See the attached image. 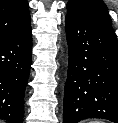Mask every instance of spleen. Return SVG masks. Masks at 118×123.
Masks as SVG:
<instances>
[{"label": "spleen", "instance_id": "spleen-1", "mask_svg": "<svg viewBox=\"0 0 118 123\" xmlns=\"http://www.w3.org/2000/svg\"><path fill=\"white\" fill-rule=\"evenodd\" d=\"M90 123H103L102 121H91Z\"/></svg>", "mask_w": 118, "mask_h": 123}]
</instances>
